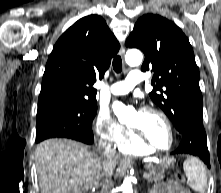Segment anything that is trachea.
<instances>
[{"label":"trachea","instance_id":"obj_1","mask_svg":"<svg viewBox=\"0 0 221 193\" xmlns=\"http://www.w3.org/2000/svg\"><path fill=\"white\" fill-rule=\"evenodd\" d=\"M113 69L116 73H120L122 71V60L120 56H116L113 59Z\"/></svg>","mask_w":221,"mask_h":193}]
</instances>
